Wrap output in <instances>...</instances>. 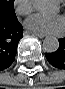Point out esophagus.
<instances>
[{"instance_id": "esophagus-1", "label": "esophagus", "mask_w": 65, "mask_h": 89, "mask_svg": "<svg viewBox=\"0 0 65 89\" xmlns=\"http://www.w3.org/2000/svg\"><path fill=\"white\" fill-rule=\"evenodd\" d=\"M34 34V33H33ZM35 36L39 37V38H44L46 37L45 35H40V34H34Z\"/></svg>"}]
</instances>
